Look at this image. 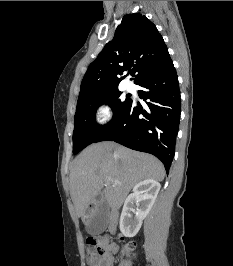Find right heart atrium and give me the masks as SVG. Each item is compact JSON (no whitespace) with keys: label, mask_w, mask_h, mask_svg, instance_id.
<instances>
[{"label":"right heart atrium","mask_w":233,"mask_h":266,"mask_svg":"<svg viewBox=\"0 0 233 266\" xmlns=\"http://www.w3.org/2000/svg\"><path fill=\"white\" fill-rule=\"evenodd\" d=\"M113 116L111 105L108 102H101L95 110V122L98 125L107 124Z\"/></svg>","instance_id":"d8ad5b80"}]
</instances>
